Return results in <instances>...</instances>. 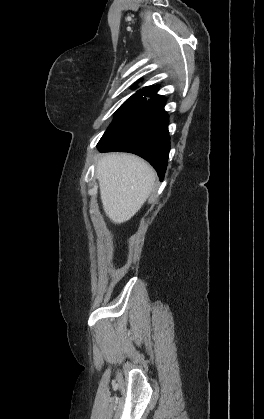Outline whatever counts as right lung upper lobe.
<instances>
[{"mask_svg":"<svg viewBox=\"0 0 264 419\" xmlns=\"http://www.w3.org/2000/svg\"><path fill=\"white\" fill-rule=\"evenodd\" d=\"M157 89H158L157 87L148 86V87H144V88L138 90L136 92V94H140V95H144V96H147V97L154 98V97L159 96V95L156 94Z\"/></svg>","mask_w":264,"mask_h":419,"instance_id":"right-lung-upper-lobe-1","label":"right lung upper lobe"}]
</instances>
